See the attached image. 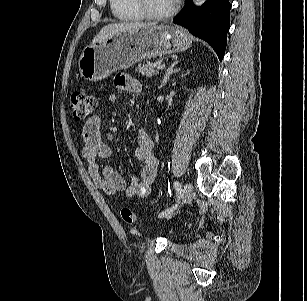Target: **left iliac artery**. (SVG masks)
<instances>
[{
    "label": "left iliac artery",
    "instance_id": "1",
    "mask_svg": "<svg viewBox=\"0 0 307 301\" xmlns=\"http://www.w3.org/2000/svg\"><path fill=\"white\" fill-rule=\"evenodd\" d=\"M174 188L178 194V198H180L181 192H182V188H181V184L178 181L174 182ZM177 205H173L172 207L166 209L165 211H162L158 216L159 217H164L167 216L168 214H170L171 212H173L174 209H176Z\"/></svg>",
    "mask_w": 307,
    "mask_h": 301
}]
</instances>
